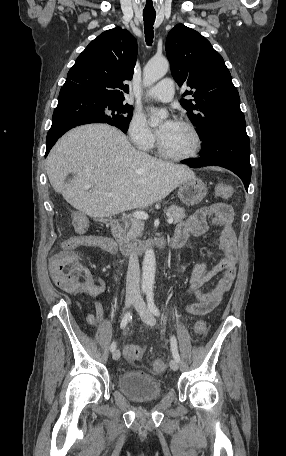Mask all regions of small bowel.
<instances>
[{
    "mask_svg": "<svg viewBox=\"0 0 286 456\" xmlns=\"http://www.w3.org/2000/svg\"><path fill=\"white\" fill-rule=\"evenodd\" d=\"M233 221L232 208L225 203H216L200 208L176 227L174 235H182L186 240L190 234H205L212 226H219L222 229L219 246L223 253L222 259L217 263L205 261L196 264L190 271L189 286L197 298L196 302L185 307V310L191 315L201 316L211 312L220 303L235 279L239 249L236 243ZM62 246H70L72 249L79 247L96 248L110 254H116L118 251L115 243L102 235H75L65 240ZM219 274L222 276L217 284L211 290H206V285ZM65 291L74 295L85 294L94 298V312L87 314V322L91 325L96 322H103L104 307L98 300V297L106 291V284L102 277L88 273L85 282L77 290ZM78 305L82 308L80 302ZM135 347L137 346L126 345L124 347L125 354Z\"/></svg>",
    "mask_w": 286,
    "mask_h": 456,
    "instance_id": "1",
    "label": "small bowel"
}]
</instances>
